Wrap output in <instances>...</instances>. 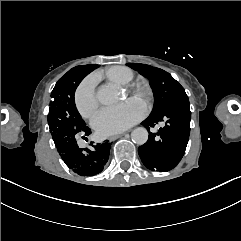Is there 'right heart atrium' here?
Returning a JSON list of instances; mask_svg holds the SVG:
<instances>
[{
  "label": "right heart atrium",
  "instance_id": "d8ad5b80",
  "mask_svg": "<svg viewBox=\"0 0 241 241\" xmlns=\"http://www.w3.org/2000/svg\"><path fill=\"white\" fill-rule=\"evenodd\" d=\"M75 105L84 118L90 117L98 107L97 99L87 86H80L75 93Z\"/></svg>",
  "mask_w": 241,
  "mask_h": 241
}]
</instances>
